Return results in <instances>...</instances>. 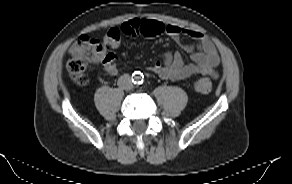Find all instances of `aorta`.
I'll return each instance as SVG.
<instances>
[{"mask_svg":"<svg viewBox=\"0 0 292 184\" xmlns=\"http://www.w3.org/2000/svg\"><path fill=\"white\" fill-rule=\"evenodd\" d=\"M134 79L136 82H139L141 80V76L140 75H135Z\"/></svg>","mask_w":292,"mask_h":184,"instance_id":"aorta-1","label":"aorta"}]
</instances>
